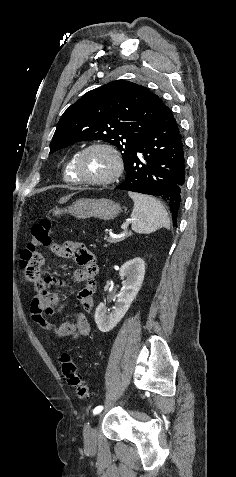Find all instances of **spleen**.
<instances>
[{"mask_svg":"<svg viewBox=\"0 0 236 477\" xmlns=\"http://www.w3.org/2000/svg\"><path fill=\"white\" fill-rule=\"evenodd\" d=\"M134 201L131 213L132 230L139 234H149L164 227L170 228V219L163 205L155 198L129 192Z\"/></svg>","mask_w":236,"mask_h":477,"instance_id":"spleen-1","label":"spleen"}]
</instances>
